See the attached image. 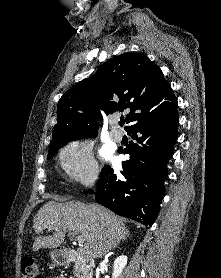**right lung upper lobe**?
I'll use <instances>...</instances> for the list:
<instances>
[{"mask_svg":"<svg viewBox=\"0 0 221 278\" xmlns=\"http://www.w3.org/2000/svg\"><path fill=\"white\" fill-rule=\"evenodd\" d=\"M161 69L141 53L106 61L97 73L78 82L58 102V121L50 147L96 135L98 119L130 110L126 130L177 108Z\"/></svg>","mask_w":221,"mask_h":278,"instance_id":"right-lung-upper-lobe-1","label":"right lung upper lobe"}]
</instances>
